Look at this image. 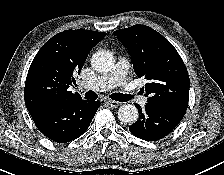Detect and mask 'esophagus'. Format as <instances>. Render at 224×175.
I'll list each match as a JSON object with an SVG mask.
<instances>
[{"label": "esophagus", "mask_w": 224, "mask_h": 175, "mask_svg": "<svg viewBox=\"0 0 224 175\" xmlns=\"http://www.w3.org/2000/svg\"><path fill=\"white\" fill-rule=\"evenodd\" d=\"M105 102H106L109 106L114 107V108H115V107H118L119 104H120V102L115 101V100H111V99H106Z\"/></svg>", "instance_id": "esophagus-1"}]
</instances>
